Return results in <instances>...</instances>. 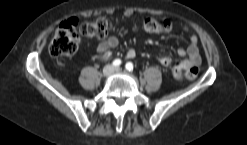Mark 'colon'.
I'll return each instance as SVG.
<instances>
[{"mask_svg":"<svg viewBox=\"0 0 247 145\" xmlns=\"http://www.w3.org/2000/svg\"><path fill=\"white\" fill-rule=\"evenodd\" d=\"M143 28L149 33L167 34L172 31L173 25L168 20L160 21L153 17H145ZM110 29V20L103 16L86 22L79 28L75 20L66 21L57 28L50 43L49 52L54 57L71 56L78 49L81 34L90 38L102 39L108 35ZM164 63L168 66L171 64L168 60H165ZM173 71L177 77L185 76L188 79H195L198 74V69L196 68L183 73L180 62L174 64Z\"/></svg>","mask_w":247,"mask_h":145,"instance_id":"obj_1","label":"colon"}]
</instances>
